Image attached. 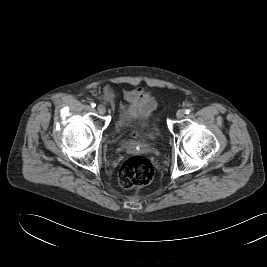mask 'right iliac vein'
Here are the masks:
<instances>
[{"label": "right iliac vein", "instance_id": "1", "mask_svg": "<svg viewBox=\"0 0 267 267\" xmlns=\"http://www.w3.org/2000/svg\"><path fill=\"white\" fill-rule=\"evenodd\" d=\"M97 111H98L99 114L103 115L106 112V108L103 105H98L97 106Z\"/></svg>", "mask_w": 267, "mask_h": 267}]
</instances>
